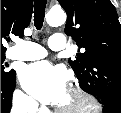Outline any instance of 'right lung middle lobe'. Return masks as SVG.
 <instances>
[{
	"mask_svg": "<svg viewBox=\"0 0 121 113\" xmlns=\"http://www.w3.org/2000/svg\"><path fill=\"white\" fill-rule=\"evenodd\" d=\"M4 59H5L4 52H1V77L2 76H6V75H8L11 72V71H5L4 70V65L2 64Z\"/></svg>",
	"mask_w": 121,
	"mask_h": 113,
	"instance_id": "obj_1",
	"label": "right lung middle lobe"
}]
</instances>
